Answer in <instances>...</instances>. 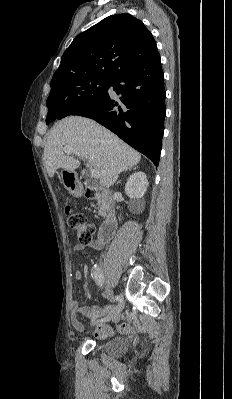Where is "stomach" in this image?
I'll use <instances>...</instances> for the list:
<instances>
[{
    "label": "stomach",
    "instance_id": "stomach-1",
    "mask_svg": "<svg viewBox=\"0 0 232 399\" xmlns=\"http://www.w3.org/2000/svg\"><path fill=\"white\" fill-rule=\"evenodd\" d=\"M60 178L64 188H66L70 194H76L77 188L80 186L77 174H75V172H68V170H62Z\"/></svg>",
    "mask_w": 232,
    "mask_h": 399
}]
</instances>
